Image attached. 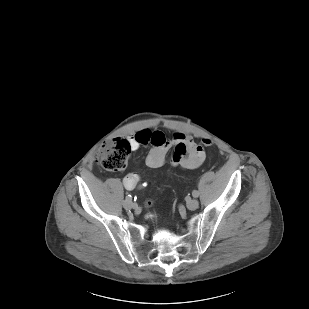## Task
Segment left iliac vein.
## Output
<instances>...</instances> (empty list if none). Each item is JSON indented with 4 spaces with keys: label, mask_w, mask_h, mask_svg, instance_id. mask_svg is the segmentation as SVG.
Segmentation results:
<instances>
[{
    "label": "left iliac vein",
    "mask_w": 309,
    "mask_h": 309,
    "mask_svg": "<svg viewBox=\"0 0 309 309\" xmlns=\"http://www.w3.org/2000/svg\"><path fill=\"white\" fill-rule=\"evenodd\" d=\"M199 207V201L197 199H190L187 201V208L190 210H195Z\"/></svg>",
    "instance_id": "left-iliac-vein-1"
}]
</instances>
